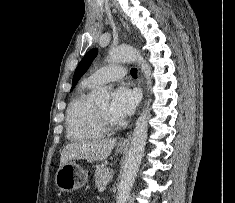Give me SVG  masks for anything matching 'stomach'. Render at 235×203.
Masks as SVG:
<instances>
[{"label": "stomach", "mask_w": 235, "mask_h": 203, "mask_svg": "<svg viewBox=\"0 0 235 203\" xmlns=\"http://www.w3.org/2000/svg\"><path fill=\"white\" fill-rule=\"evenodd\" d=\"M118 153H124L125 148L117 147ZM87 171L79 165L68 162L59 167L55 175L56 186L63 192L75 191L87 183Z\"/></svg>", "instance_id": "stomach-1"}]
</instances>
